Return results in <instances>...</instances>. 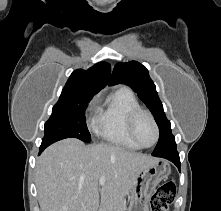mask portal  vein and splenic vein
Here are the masks:
<instances>
[{"mask_svg": "<svg viewBox=\"0 0 221 211\" xmlns=\"http://www.w3.org/2000/svg\"><path fill=\"white\" fill-rule=\"evenodd\" d=\"M105 182H106V178L104 177V176H102V177H100L99 178V185H104L105 184Z\"/></svg>", "mask_w": 221, "mask_h": 211, "instance_id": "18ae733b", "label": "portal vein and splenic vein"}]
</instances>
